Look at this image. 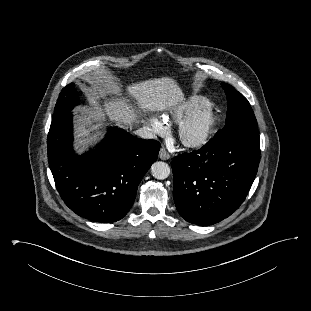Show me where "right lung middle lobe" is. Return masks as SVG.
Wrapping results in <instances>:
<instances>
[{
    "label": "right lung middle lobe",
    "mask_w": 311,
    "mask_h": 311,
    "mask_svg": "<svg viewBox=\"0 0 311 311\" xmlns=\"http://www.w3.org/2000/svg\"><path fill=\"white\" fill-rule=\"evenodd\" d=\"M77 104H79L77 93L74 84L71 83L62 89L54 109L53 119L70 111Z\"/></svg>",
    "instance_id": "dd1d6c3e"
}]
</instances>
